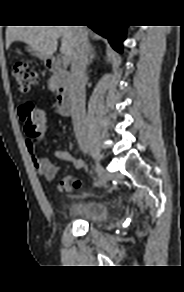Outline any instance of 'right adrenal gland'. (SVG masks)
Masks as SVG:
<instances>
[{
    "label": "right adrenal gland",
    "mask_w": 184,
    "mask_h": 292,
    "mask_svg": "<svg viewBox=\"0 0 184 292\" xmlns=\"http://www.w3.org/2000/svg\"><path fill=\"white\" fill-rule=\"evenodd\" d=\"M96 52L95 49L92 45H90V49H89V59H88V66L92 63L93 59L96 58Z\"/></svg>",
    "instance_id": "right-adrenal-gland-1"
}]
</instances>
